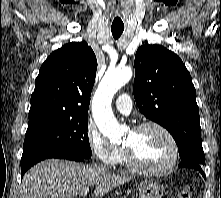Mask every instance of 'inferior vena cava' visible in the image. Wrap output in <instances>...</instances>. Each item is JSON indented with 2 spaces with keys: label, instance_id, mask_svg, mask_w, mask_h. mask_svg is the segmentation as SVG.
<instances>
[{
  "label": "inferior vena cava",
  "instance_id": "602c4592",
  "mask_svg": "<svg viewBox=\"0 0 221 198\" xmlns=\"http://www.w3.org/2000/svg\"><path fill=\"white\" fill-rule=\"evenodd\" d=\"M95 167H100V168H104V167H103V165H99V166L95 165Z\"/></svg>",
  "mask_w": 221,
  "mask_h": 198
}]
</instances>
